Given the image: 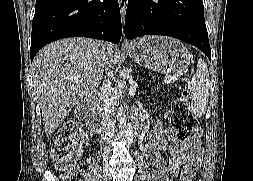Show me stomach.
<instances>
[{
  "mask_svg": "<svg viewBox=\"0 0 253 181\" xmlns=\"http://www.w3.org/2000/svg\"><path fill=\"white\" fill-rule=\"evenodd\" d=\"M129 56L139 65L163 74L180 73L190 63L185 45L166 36H146L128 48Z\"/></svg>",
  "mask_w": 253,
  "mask_h": 181,
  "instance_id": "1",
  "label": "stomach"
}]
</instances>
